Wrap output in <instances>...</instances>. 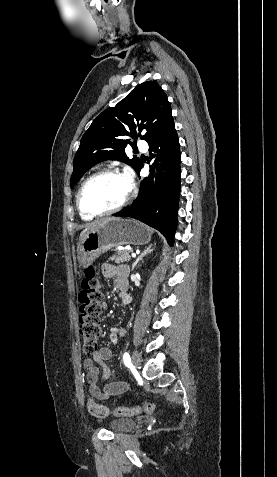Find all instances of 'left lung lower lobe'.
Returning a JSON list of instances; mask_svg holds the SVG:
<instances>
[{
	"label": "left lung lower lobe",
	"instance_id": "1",
	"mask_svg": "<svg viewBox=\"0 0 277 477\" xmlns=\"http://www.w3.org/2000/svg\"><path fill=\"white\" fill-rule=\"evenodd\" d=\"M149 151L158 154L159 170L141 182L137 199L114 216L131 217L159 230L170 245L174 242L180 194V148L173 118L149 141ZM160 147V148H159ZM142 163L137 174L140 173ZM154 165L151 167L153 169Z\"/></svg>",
	"mask_w": 277,
	"mask_h": 477
}]
</instances>
